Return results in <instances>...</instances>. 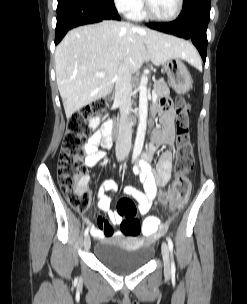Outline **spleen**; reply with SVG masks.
I'll return each instance as SVG.
<instances>
[{"label": "spleen", "instance_id": "obj_1", "mask_svg": "<svg viewBox=\"0 0 247 304\" xmlns=\"http://www.w3.org/2000/svg\"><path fill=\"white\" fill-rule=\"evenodd\" d=\"M192 65H194L196 68L200 69L202 66H201V61L198 57V59H196L194 62L191 63Z\"/></svg>", "mask_w": 247, "mask_h": 304}]
</instances>
